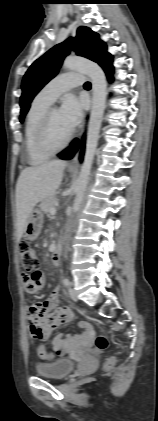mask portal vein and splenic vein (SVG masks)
<instances>
[{"label":"portal vein and splenic vein","mask_w":158,"mask_h":421,"mask_svg":"<svg viewBox=\"0 0 158 421\" xmlns=\"http://www.w3.org/2000/svg\"><path fill=\"white\" fill-rule=\"evenodd\" d=\"M56 213V209L55 208H52L51 210H50V214L51 215H54Z\"/></svg>","instance_id":"portal-vein-and-splenic-vein-1"}]
</instances>
